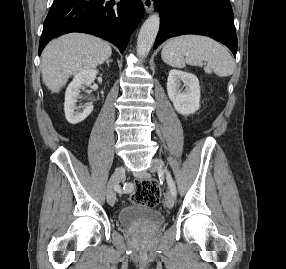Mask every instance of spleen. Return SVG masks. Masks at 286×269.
I'll return each instance as SVG.
<instances>
[{
  "label": "spleen",
  "mask_w": 286,
  "mask_h": 269,
  "mask_svg": "<svg viewBox=\"0 0 286 269\" xmlns=\"http://www.w3.org/2000/svg\"><path fill=\"white\" fill-rule=\"evenodd\" d=\"M162 60L176 68L205 65L207 74L219 77L230 76L234 72V61L228 50L217 41L199 35H184L170 39L162 49Z\"/></svg>",
  "instance_id": "3e777b00"
}]
</instances>
